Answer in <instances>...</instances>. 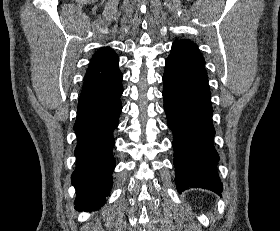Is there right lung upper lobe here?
Here are the masks:
<instances>
[{"label":"right lung upper lobe","mask_w":280,"mask_h":231,"mask_svg":"<svg viewBox=\"0 0 280 231\" xmlns=\"http://www.w3.org/2000/svg\"><path fill=\"white\" fill-rule=\"evenodd\" d=\"M119 58L109 47L98 50L91 58L79 100L90 99L121 85Z\"/></svg>","instance_id":"obj_1"}]
</instances>
